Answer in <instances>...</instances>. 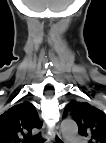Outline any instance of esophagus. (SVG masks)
<instances>
[{
    "label": "esophagus",
    "instance_id": "esophagus-1",
    "mask_svg": "<svg viewBox=\"0 0 106 143\" xmlns=\"http://www.w3.org/2000/svg\"><path fill=\"white\" fill-rule=\"evenodd\" d=\"M48 141L54 142V143H64V139L61 135V132L59 130V127L57 126L55 129V132L47 136Z\"/></svg>",
    "mask_w": 106,
    "mask_h": 143
}]
</instances>
